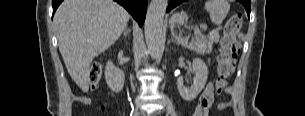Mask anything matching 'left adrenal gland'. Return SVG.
I'll use <instances>...</instances> for the list:
<instances>
[{
    "instance_id": "a2214340",
    "label": "left adrenal gland",
    "mask_w": 305,
    "mask_h": 116,
    "mask_svg": "<svg viewBox=\"0 0 305 116\" xmlns=\"http://www.w3.org/2000/svg\"><path fill=\"white\" fill-rule=\"evenodd\" d=\"M174 37H175V34H174V32H172V37H171V39L169 40V42H176L175 40H174ZM178 45H179V42H176Z\"/></svg>"
}]
</instances>
